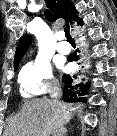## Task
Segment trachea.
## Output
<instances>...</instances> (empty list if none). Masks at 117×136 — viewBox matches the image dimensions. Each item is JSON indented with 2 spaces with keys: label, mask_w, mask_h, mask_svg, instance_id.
<instances>
[{
  "label": "trachea",
  "mask_w": 117,
  "mask_h": 136,
  "mask_svg": "<svg viewBox=\"0 0 117 136\" xmlns=\"http://www.w3.org/2000/svg\"><path fill=\"white\" fill-rule=\"evenodd\" d=\"M65 31V36L67 38L68 41H73L72 36L70 35L69 29L67 27L64 28Z\"/></svg>",
  "instance_id": "obj_1"
}]
</instances>
